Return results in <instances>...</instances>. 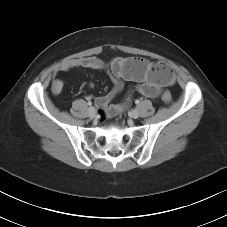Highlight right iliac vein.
<instances>
[{
    "label": "right iliac vein",
    "mask_w": 227,
    "mask_h": 227,
    "mask_svg": "<svg viewBox=\"0 0 227 227\" xmlns=\"http://www.w3.org/2000/svg\"><path fill=\"white\" fill-rule=\"evenodd\" d=\"M89 116L94 118L96 116V110L94 108H89Z\"/></svg>",
    "instance_id": "1"
}]
</instances>
